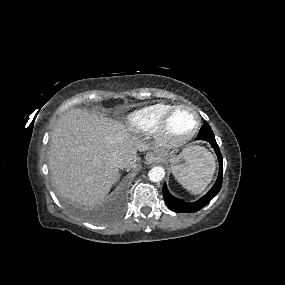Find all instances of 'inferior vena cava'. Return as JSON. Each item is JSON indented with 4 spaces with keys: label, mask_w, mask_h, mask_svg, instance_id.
Listing matches in <instances>:
<instances>
[{
    "label": "inferior vena cava",
    "mask_w": 285,
    "mask_h": 285,
    "mask_svg": "<svg viewBox=\"0 0 285 285\" xmlns=\"http://www.w3.org/2000/svg\"><path fill=\"white\" fill-rule=\"evenodd\" d=\"M113 162L118 166V167H122L124 166V159L121 156H114L113 158Z\"/></svg>",
    "instance_id": "obj_1"
}]
</instances>
